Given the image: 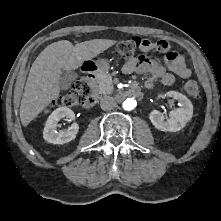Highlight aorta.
<instances>
[{"mask_svg":"<svg viewBox=\"0 0 221 221\" xmlns=\"http://www.w3.org/2000/svg\"><path fill=\"white\" fill-rule=\"evenodd\" d=\"M136 105H137L136 100H134L133 98H127L123 102L122 107L124 110L131 111L136 107Z\"/></svg>","mask_w":221,"mask_h":221,"instance_id":"762f6f07","label":"aorta"}]
</instances>
